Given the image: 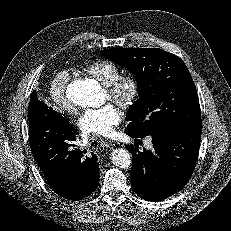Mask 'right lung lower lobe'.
I'll list each match as a JSON object with an SVG mask.
<instances>
[{"mask_svg":"<svg viewBox=\"0 0 231 231\" xmlns=\"http://www.w3.org/2000/svg\"><path fill=\"white\" fill-rule=\"evenodd\" d=\"M30 106L29 144L48 184L67 200L89 196L99 183L97 156L75 148L77 130L64 116L38 101L36 91L31 94Z\"/></svg>","mask_w":231,"mask_h":231,"instance_id":"1","label":"right lung lower lobe"}]
</instances>
